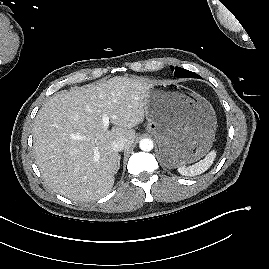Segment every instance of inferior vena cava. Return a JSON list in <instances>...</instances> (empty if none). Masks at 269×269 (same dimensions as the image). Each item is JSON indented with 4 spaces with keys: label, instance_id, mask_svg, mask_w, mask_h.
I'll return each instance as SVG.
<instances>
[{
    "label": "inferior vena cava",
    "instance_id": "obj_1",
    "mask_svg": "<svg viewBox=\"0 0 269 269\" xmlns=\"http://www.w3.org/2000/svg\"><path fill=\"white\" fill-rule=\"evenodd\" d=\"M111 147L114 151L119 152L124 149L125 143L122 140H117L112 143Z\"/></svg>",
    "mask_w": 269,
    "mask_h": 269
}]
</instances>
